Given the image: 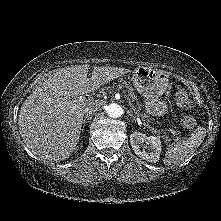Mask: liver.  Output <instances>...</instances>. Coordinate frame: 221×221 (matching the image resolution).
<instances>
[{
	"label": "liver",
	"instance_id": "6515ba94",
	"mask_svg": "<svg viewBox=\"0 0 221 221\" xmlns=\"http://www.w3.org/2000/svg\"><path fill=\"white\" fill-rule=\"evenodd\" d=\"M88 69V64L58 69L23 102L18 126L33 154L49 161L69 158L79 141L85 108L95 102L72 103L71 99L94 92L130 71L121 67H94L88 78Z\"/></svg>",
	"mask_w": 221,
	"mask_h": 221
}]
</instances>
